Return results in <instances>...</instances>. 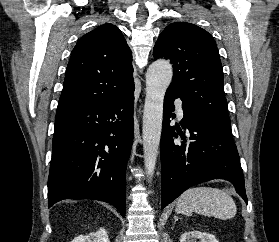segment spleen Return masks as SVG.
Masks as SVG:
<instances>
[{
  "label": "spleen",
  "instance_id": "obj_1",
  "mask_svg": "<svg viewBox=\"0 0 279 242\" xmlns=\"http://www.w3.org/2000/svg\"><path fill=\"white\" fill-rule=\"evenodd\" d=\"M175 211L186 216L195 212L226 220L236 215L237 207L233 198L220 189L193 187L178 198Z\"/></svg>",
  "mask_w": 279,
  "mask_h": 242
}]
</instances>
